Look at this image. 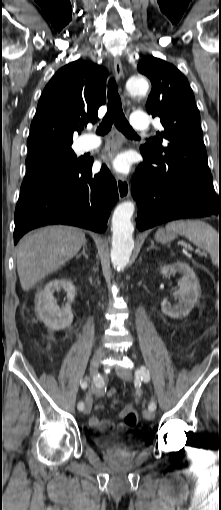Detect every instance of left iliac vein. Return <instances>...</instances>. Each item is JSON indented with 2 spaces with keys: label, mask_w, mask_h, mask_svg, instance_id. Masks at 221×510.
I'll return each instance as SVG.
<instances>
[{
  "label": "left iliac vein",
  "mask_w": 221,
  "mask_h": 510,
  "mask_svg": "<svg viewBox=\"0 0 221 510\" xmlns=\"http://www.w3.org/2000/svg\"><path fill=\"white\" fill-rule=\"evenodd\" d=\"M116 373L120 378H122L126 381H131L133 378V374L130 369H117ZM143 416L146 420L151 421L155 418V413H154V411H151L150 409H145L143 411Z\"/></svg>",
  "instance_id": "left-iliac-vein-1"
}]
</instances>
